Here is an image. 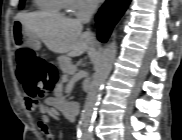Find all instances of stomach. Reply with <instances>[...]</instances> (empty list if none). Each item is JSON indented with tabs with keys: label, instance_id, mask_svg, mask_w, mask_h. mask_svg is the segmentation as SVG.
Returning <instances> with one entry per match:
<instances>
[{
	"label": "stomach",
	"instance_id": "0dacf381",
	"mask_svg": "<svg viewBox=\"0 0 182 140\" xmlns=\"http://www.w3.org/2000/svg\"><path fill=\"white\" fill-rule=\"evenodd\" d=\"M13 39L17 46H27L34 49L40 47V39L36 37L35 31H26L27 26L23 22H12Z\"/></svg>",
	"mask_w": 182,
	"mask_h": 140
}]
</instances>
